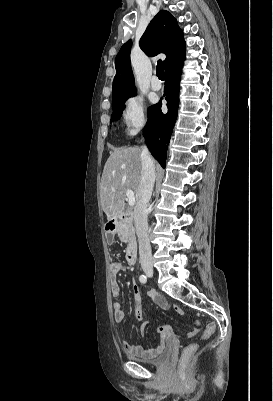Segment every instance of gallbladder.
Returning a JSON list of instances; mask_svg holds the SVG:
<instances>
[{
  "instance_id": "bac80fb5",
  "label": "gallbladder",
  "mask_w": 273,
  "mask_h": 401,
  "mask_svg": "<svg viewBox=\"0 0 273 401\" xmlns=\"http://www.w3.org/2000/svg\"><path fill=\"white\" fill-rule=\"evenodd\" d=\"M106 236H107V245L108 246H113L114 245V236H113V233L111 232V231H108L107 233H106Z\"/></svg>"
}]
</instances>
